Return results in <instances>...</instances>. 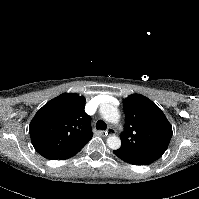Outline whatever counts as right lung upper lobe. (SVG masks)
<instances>
[{"label": "right lung upper lobe", "mask_w": 199, "mask_h": 199, "mask_svg": "<svg viewBox=\"0 0 199 199\" xmlns=\"http://www.w3.org/2000/svg\"><path fill=\"white\" fill-rule=\"evenodd\" d=\"M85 98L64 93L46 103L32 119V144L43 157L65 159L79 152L92 138Z\"/></svg>", "instance_id": "obj_1"}]
</instances>
